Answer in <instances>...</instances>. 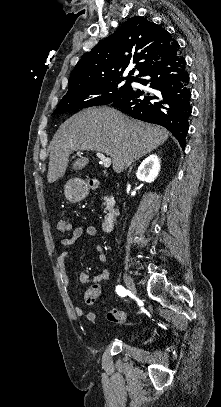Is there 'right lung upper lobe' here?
Here are the masks:
<instances>
[{
	"label": "right lung upper lobe",
	"mask_w": 221,
	"mask_h": 407,
	"mask_svg": "<svg viewBox=\"0 0 221 407\" xmlns=\"http://www.w3.org/2000/svg\"><path fill=\"white\" fill-rule=\"evenodd\" d=\"M178 43L161 26L135 16L112 35L83 54L69 78L68 92L105 82L135 81L134 70L142 74L167 57ZM131 65L129 76L122 77Z\"/></svg>",
	"instance_id": "cb5924a9"
}]
</instances>
